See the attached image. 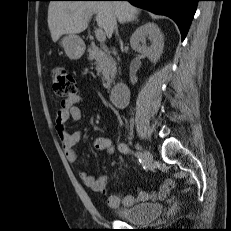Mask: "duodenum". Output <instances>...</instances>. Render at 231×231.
I'll list each match as a JSON object with an SVG mask.
<instances>
[{"label": "duodenum", "instance_id": "duodenum-1", "mask_svg": "<svg viewBox=\"0 0 231 231\" xmlns=\"http://www.w3.org/2000/svg\"><path fill=\"white\" fill-rule=\"evenodd\" d=\"M129 87L126 82L120 81L116 83L110 93V100L114 107L122 108L128 99Z\"/></svg>", "mask_w": 231, "mask_h": 231}]
</instances>
